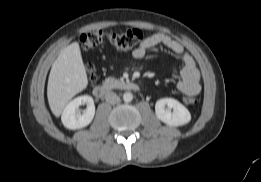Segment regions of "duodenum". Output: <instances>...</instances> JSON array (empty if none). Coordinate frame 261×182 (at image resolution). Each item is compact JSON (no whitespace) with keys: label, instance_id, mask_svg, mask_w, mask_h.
I'll use <instances>...</instances> for the list:
<instances>
[{"label":"duodenum","instance_id":"obj_1","mask_svg":"<svg viewBox=\"0 0 261 182\" xmlns=\"http://www.w3.org/2000/svg\"><path fill=\"white\" fill-rule=\"evenodd\" d=\"M113 86L124 90H130V91H137L139 89L138 85L133 81H124L121 83H117ZM111 87L112 85L109 84L98 85L94 88L93 94L95 97L101 99L109 92Z\"/></svg>","mask_w":261,"mask_h":182}]
</instances>
